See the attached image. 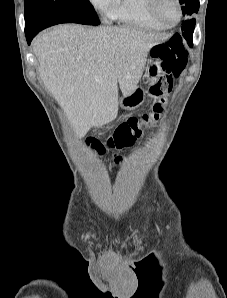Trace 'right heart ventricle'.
Masks as SVG:
<instances>
[{
  "label": "right heart ventricle",
  "mask_w": 227,
  "mask_h": 298,
  "mask_svg": "<svg viewBox=\"0 0 227 298\" xmlns=\"http://www.w3.org/2000/svg\"><path fill=\"white\" fill-rule=\"evenodd\" d=\"M104 13L120 24L145 29L163 30L166 26L158 22L149 12V0H109Z\"/></svg>",
  "instance_id": "obj_1"
}]
</instances>
